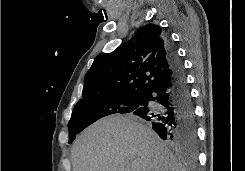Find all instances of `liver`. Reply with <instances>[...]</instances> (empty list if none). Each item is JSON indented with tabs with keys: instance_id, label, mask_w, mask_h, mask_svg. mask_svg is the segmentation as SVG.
<instances>
[{
	"instance_id": "6515ba94",
	"label": "liver",
	"mask_w": 245,
	"mask_h": 171,
	"mask_svg": "<svg viewBox=\"0 0 245 171\" xmlns=\"http://www.w3.org/2000/svg\"><path fill=\"white\" fill-rule=\"evenodd\" d=\"M73 171H186L149 127L131 115H112L75 140Z\"/></svg>"
}]
</instances>
